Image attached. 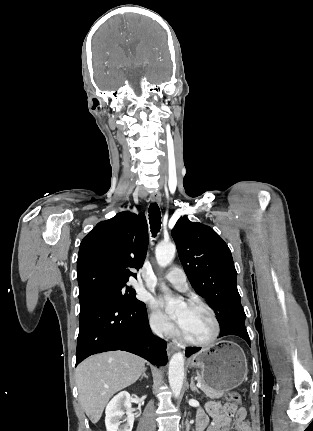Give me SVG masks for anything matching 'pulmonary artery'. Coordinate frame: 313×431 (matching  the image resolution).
Listing matches in <instances>:
<instances>
[{"label":"pulmonary artery","mask_w":313,"mask_h":431,"mask_svg":"<svg viewBox=\"0 0 313 431\" xmlns=\"http://www.w3.org/2000/svg\"><path fill=\"white\" fill-rule=\"evenodd\" d=\"M163 279L179 291L188 289L186 275L179 267H172Z\"/></svg>","instance_id":"pulmonary-artery-1"}]
</instances>
